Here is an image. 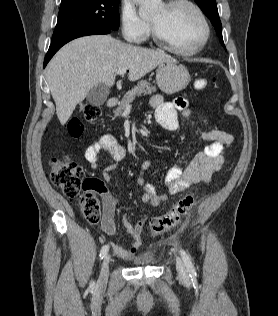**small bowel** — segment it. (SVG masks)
I'll use <instances>...</instances> for the list:
<instances>
[{
	"instance_id": "obj_1",
	"label": "small bowel",
	"mask_w": 278,
	"mask_h": 316,
	"mask_svg": "<svg viewBox=\"0 0 278 316\" xmlns=\"http://www.w3.org/2000/svg\"><path fill=\"white\" fill-rule=\"evenodd\" d=\"M151 105L155 109V118L157 122L166 130L175 131L178 129V113H181L186 123L191 126L195 133L208 144L198 150L185 168L179 163L173 165L167 171L165 184L169 194H176L189 188L193 184L208 181L211 176L219 171L224 163V154L233 143V136L219 129L203 130L193 121L197 117L207 126L206 118L199 113H195L184 98H177L173 102H166L160 95L151 98ZM102 150L107 151L113 162L106 166L102 173L105 182L112 179L111 173L117 168V164L122 162L127 155L126 149L120 145L116 138L111 134H103L96 141L90 143L84 152L86 161L91 168H98V158ZM152 166V160L147 159L141 164V172L137 178V183L143 188L142 201L153 207H157L168 198L167 194L157 193L153 184L146 182L144 173ZM103 215L101 220V230L104 234L113 236L116 234V225L114 221L116 203L110 193L103 189ZM123 226L126 232L132 237L133 245L126 249L112 244L113 251L123 257L132 255L142 244L141 233L144 227V220H138L132 223L129 216H123Z\"/></svg>"
}]
</instances>
